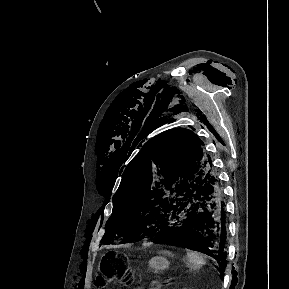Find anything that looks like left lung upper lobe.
I'll return each mask as SVG.
<instances>
[{"label":"left lung upper lobe","instance_id":"5c2ea615","mask_svg":"<svg viewBox=\"0 0 289 289\" xmlns=\"http://www.w3.org/2000/svg\"><path fill=\"white\" fill-rule=\"evenodd\" d=\"M204 143L189 129L167 130L149 140L123 173L102 242L147 237L168 216L171 200L211 167ZM155 217L157 221L149 220Z\"/></svg>","mask_w":289,"mask_h":289}]
</instances>
